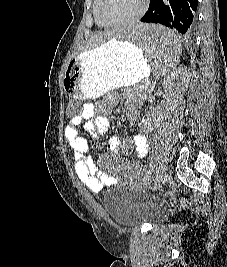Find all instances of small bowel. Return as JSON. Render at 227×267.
I'll return each instance as SVG.
<instances>
[{
	"label": "small bowel",
	"mask_w": 227,
	"mask_h": 267,
	"mask_svg": "<svg viewBox=\"0 0 227 267\" xmlns=\"http://www.w3.org/2000/svg\"><path fill=\"white\" fill-rule=\"evenodd\" d=\"M104 106H97L93 103H86L76 116H71L64 127V136L68 142L69 149L74 160L75 172L79 180L90 190L99 192L103 187L113 184L116 179L108 174L99 173L95 163L87 156L88 141L79 133L80 125L92 137L105 134L109 129V119L105 113ZM129 118L137 120L139 117L138 109L135 105L129 106ZM127 145L132 148L138 158H144L148 153V139L140 133H134L127 141ZM109 147L112 152L117 154L121 147V140L115 136L110 139Z\"/></svg>",
	"instance_id": "obj_1"
}]
</instances>
